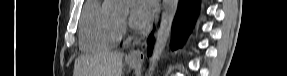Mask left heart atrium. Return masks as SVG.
<instances>
[{
  "instance_id": "1",
  "label": "left heart atrium",
  "mask_w": 287,
  "mask_h": 76,
  "mask_svg": "<svg viewBox=\"0 0 287 76\" xmlns=\"http://www.w3.org/2000/svg\"><path fill=\"white\" fill-rule=\"evenodd\" d=\"M154 13L151 0H133L130 11V22L133 27L141 29L148 25Z\"/></svg>"
}]
</instances>
